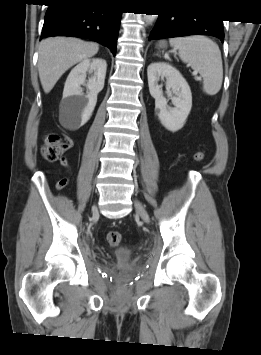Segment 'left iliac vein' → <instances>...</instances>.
Segmentation results:
<instances>
[{
	"label": "left iliac vein",
	"mask_w": 261,
	"mask_h": 355,
	"mask_svg": "<svg viewBox=\"0 0 261 355\" xmlns=\"http://www.w3.org/2000/svg\"><path fill=\"white\" fill-rule=\"evenodd\" d=\"M135 207H136L137 213L141 216V218L146 223H149V215H148L147 211L145 210V208L143 207V205L139 201H136Z\"/></svg>",
	"instance_id": "4c4485c4"
}]
</instances>
